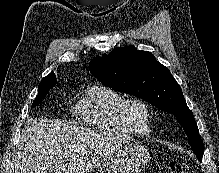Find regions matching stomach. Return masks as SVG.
I'll list each match as a JSON object with an SVG mask.
<instances>
[{"mask_svg": "<svg viewBox=\"0 0 219 173\" xmlns=\"http://www.w3.org/2000/svg\"><path fill=\"white\" fill-rule=\"evenodd\" d=\"M149 160L147 148L137 142H128L107 157L96 173H139Z\"/></svg>", "mask_w": 219, "mask_h": 173, "instance_id": "1", "label": "stomach"}]
</instances>
